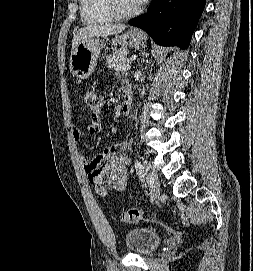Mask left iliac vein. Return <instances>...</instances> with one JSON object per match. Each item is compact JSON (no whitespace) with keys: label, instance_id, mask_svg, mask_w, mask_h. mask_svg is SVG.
Segmentation results:
<instances>
[{"label":"left iliac vein","instance_id":"obj_1","mask_svg":"<svg viewBox=\"0 0 253 271\" xmlns=\"http://www.w3.org/2000/svg\"><path fill=\"white\" fill-rule=\"evenodd\" d=\"M145 167L146 179L150 187L151 196L154 200H156L160 194V183L158 179V174L148 163H145Z\"/></svg>","mask_w":253,"mask_h":271}]
</instances>
